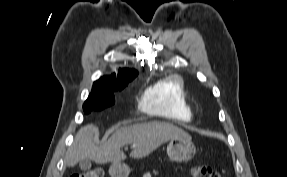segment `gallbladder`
Here are the masks:
<instances>
[{
  "instance_id": "gallbladder-1",
  "label": "gallbladder",
  "mask_w": 287,
  "mask_h": 177,
  "mask_svg": "<svg viewBox=\"0 0 287 177\" xmlns=\"http://www.w3.org/2000/svg\"><path fill=\"white\" fill-rule=\"evenodd\" d=\"M79 167L83 171H87L91 168V160L90 159H83L79 161Z\"/></svg>"
}]
</instances>
